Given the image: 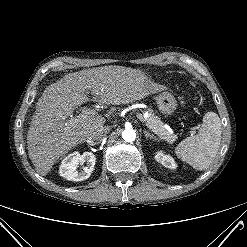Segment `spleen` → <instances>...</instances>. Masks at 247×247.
I'll list each match as a JSON object with an SVG mask.
<instances>
[{
	"label": "spleen",
	"mask_w": 247,
	"mask_h": 247,
	"mask_svg": "<svg viewBox=\"0 0 247 247\" xmlns=\"http://www.w3.org/2000/svg\"><path fill=\"white\" fill-rule=\"evenodd\" d=\"M221 142V122L214 112H207L196 135L187 137L175 148V154L196 170L209 168Z\"/></svg>",
	"instance_id": "spleen-1"
}]
</instances>
